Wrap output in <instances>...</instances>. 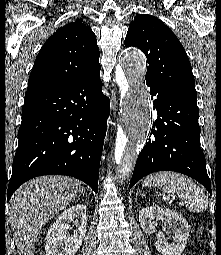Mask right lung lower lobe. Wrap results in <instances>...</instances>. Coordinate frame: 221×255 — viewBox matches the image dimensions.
I'll list each match as a JSON object with an SVG mask.
<instances>
[{
	"label": "right lung lower lobe",
	"mask_w": 221,
	"mask_h": 255,
	"mask_svg": "<svg viewBox=\"0 0 221 255\" xmlns=\"http://www.w3.org/2000/svg\"><path fill=\"white\" fill-rule=\"evenodd\" d=\"M100 69L69 83L26 93L7 200L24 182L50 174L78 178L97 193L109 116Z\"/></svg>",
	"instance_id": "right-lung-lower-lobe-1"
}]
</instances>
